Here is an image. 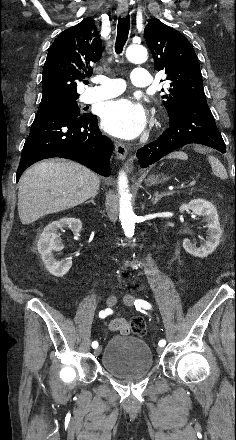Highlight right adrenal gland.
<instances>
[{
  "instance_id": "obj_1",
  "label": "right adrenal gland",
  "mask_w": 236,
  "mask_h": 440,
  "mask_svg": "<svg viewBox=\"0 0 236 440\" xmlns=\"http://www.w3.org/2000/svg\"><path fill=\"white\" fill-rule=\"evenodd\" d=\"M96 197V195H93L92 196V198L89 200V201H86L85 203H92L93 205H95V202H94V198Z\"/></svg>"
}]
</instances>
